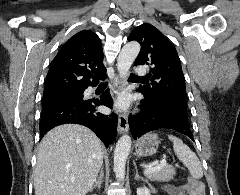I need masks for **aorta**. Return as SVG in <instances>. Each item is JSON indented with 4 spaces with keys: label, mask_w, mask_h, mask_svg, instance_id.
I'll return each instance as SVG.
<instances>
[{
    "label": "aorta",
    "mask_w": 240,
    "mask_h": 195,
    "mask_svg": "<svg viewBox=\"0 0 240 195\" xmlns=\"http://www.w3.org/2000/svg\"><path fill=\"white\" fill-rule=\"evenodd\" d=\"M140 50L141 46L138 42H129V44L123 46L117 60V70L120 78H127L128 72ZM130 147V135H122V137L118 139L114 151V171L117 179H120V181H123L125 177L126 159L129 155Z\"/></svg>",
    "instance_id": "aorta-1"
}]
</instances>
